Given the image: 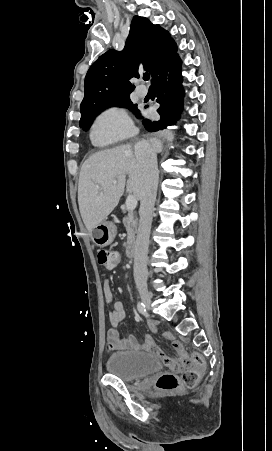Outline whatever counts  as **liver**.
Here are the masks:
<instances>
[{
	"mask_svg": "<svg viewBox=\"0 0 272 451\" xmlns=\"http://www.w3.org/2000/svg\"><path fill=\"white\" fill-rule=\"evenodd\" d=\"M149 142L155 152H162L161 140L150 138ZM125 184L126 192L134 194L136 200H141L143 170L131 144L96 152L84 162L78 182V204L88 231L113 212L123 196Z\"/></svg>",
	"mask_w": 272,
	"mask_h": 451,
	"instance_id": "6515ba94",
	"label": "liver"
}]
</instances>
